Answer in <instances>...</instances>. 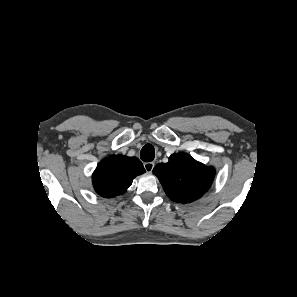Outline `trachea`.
Instances as JSON below:
<instances>
[{"instance_id": "trachea-1", "label": "trachea", "mask_w": 297, "mask_h": 297, "mask_svg": "<svg viewBox=\"0 0 297 297\" xmlns=\"http://www.w3.org/2000/svg\"><path fill=\"white\" fill-rule=\"evenodd\" d=\"M155 157V149L151 144H146L140 152V158L145 162L153 161Z\"/></svg>"}]
</instances>
